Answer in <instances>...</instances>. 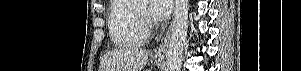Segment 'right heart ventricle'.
<instances>
[{
	"label": "right heart ventricle",
	"mask_w": 301,
	"mask_h": 71,
	"mask_svg": "<svg viewBox=\"0 0 301 71\" xmlns=\"http://www.w3.org/2000/svg\"><path fill=\"white\" fill-rule=\"evenodd\" d=\"M108 30L113 45L121 48L143 45L148 38L129 0L113 1L108 15Z\"/></svg>",
	"instance_id": "1"
}]
</instances>
